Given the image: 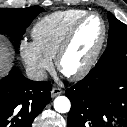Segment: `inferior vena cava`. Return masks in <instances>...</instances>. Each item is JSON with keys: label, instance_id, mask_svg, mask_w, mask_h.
<instances>
[{"label": "inferior vena cava", "instance_id": "1", "mask_svg": "<svg viewBox=\"0 0 127 127\" xmlns=\"http://www.w3.org/2000/svg\"><path fill=\"white\" fill-rule=\"evenodd\" d=\"M26 75L30 80L43 81L47 79V73L43 69L29 67L26 69Z\"/></svg>", "mask_w": 127, "mask_h": 127}]
</instances>
